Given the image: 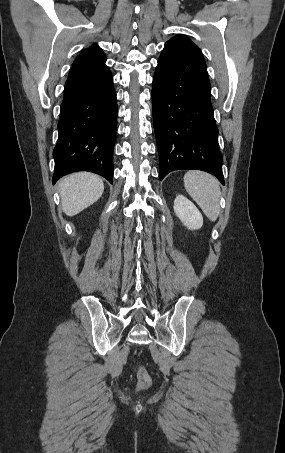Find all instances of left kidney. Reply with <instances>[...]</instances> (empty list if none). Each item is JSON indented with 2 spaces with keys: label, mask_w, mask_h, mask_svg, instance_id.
Returning a JSON list of instances; mask_svg holds the SVG:
<instances>
[{
  "label": "left kidney",
  "mask_w": 285,
  "mask_h": 453,
  "mask_svg": "<svg viewBox=\"0 0 285 453\" xmlns=\"http://www.w3.org/2000/svg\"><path fill=\"white\" fill-rule=\"evenodd\" d=\"M174 212L189 230L200 229L203 217L197 207L183 195H178L174 201Z\"/></svg>",
  "instance_id": "left-kidney-1"
}]
</instances>
